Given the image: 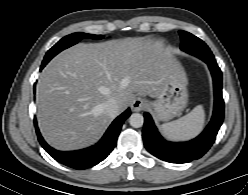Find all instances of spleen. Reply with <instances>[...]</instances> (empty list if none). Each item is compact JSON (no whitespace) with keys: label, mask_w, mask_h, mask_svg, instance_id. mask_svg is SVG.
<instances>
[{"label":"spleen","mask_w":248,"mask_h":195,"mask_svg":"<svg viewBox=\"0 0 248 195\" xmlns=\"http://www.w3.org/2000/svg\"><path fill=\"white\" fill-rule=\"evenodd\" d=\"M204 122V108L202 105H198L184 117L163 124L161 130L169 140H187L195 137L202 131Z\"/></svg>","instance_id":"1"}]
</instances>
